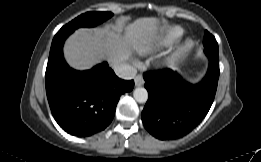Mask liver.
Returning <instances> with one entry per match:
<instances>
[{"instance_id":"liver-1","label":"liver","mask_w":261,"mask_h":162,"mask_svg":"<svg viewBox=\"0 0 261 162\" xmlns=\"http://www.w3.org/2000/svg\"><path fill=\"white\" fill-rule=\"evenodd\" d=\"M159 20L138 18L132 23L88 30L78 29L64 45L67 63L77 70L90 69L106 58L110 65L124 63L133 51L152 46L157 37Z\"/></svg>"}]
</instances>
